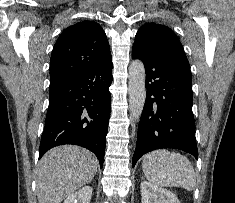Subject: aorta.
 <instances>
[{"label": "aorta", "mask_w": 235, "mask_h": 203, "mask_svg": "<svg viewBox=\"0 0 235 203\" xmlns=\"http://www.w3.org/2000/svg\"><path fill=\"white\" fill-rule=\"evenodd\" d=\"M145 68L140 60H133L129 66V109L132 119L139 121L145 100Z\"/></svg>", "instance_id": "obj_1"}]
</instances>
